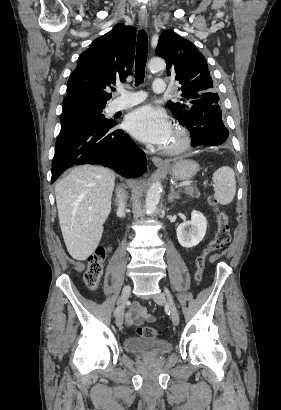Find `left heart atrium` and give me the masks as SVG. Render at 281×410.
Listing matches in <instances>:
<instances>
[{
	"label": "left heart atrium",
	"mask_w": 281,
	"mask_h": 410,
	"mask_svg": "<svg viewBox=\"0 0 281 410\" xmlns=\"http://www.w3.org/2000/svg\"><path fill=\"white\" fill-rule=\"evenodd\" d=\"M126 128L137 139L161 146L169 141L173 133L165 111L149 105L130 113L126 120Z\"/></svg>",
	"instance_id": "1"
}]
</instances>
